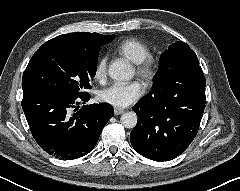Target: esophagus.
I'll return each mask as SVG.
<instances>
[{"mask_svg": "<svg viewBox=\"0 0 240 191\" xmlns=\"http://www.w3.org/2000/svg\"><path fill=\"white\" fill-rule=\"evenodd\" d=\"M124 113V109H121V108H114V114L115 115H120Z\"/></svg>", "mask_w": 240, "mask_h": 191, "instance_id": "esophagus-1", "label": "esophagus"}]
</instances>
